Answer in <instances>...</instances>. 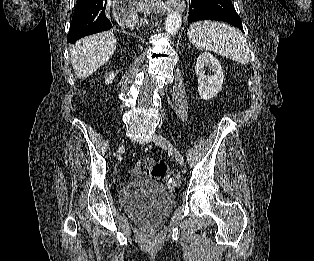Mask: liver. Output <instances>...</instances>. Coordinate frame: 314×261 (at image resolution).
Here are the masks:
<instances>
[{"mask_svg": "<svg viewBox=\"0 0 314 261\" xmlns=\"http://www.w3.org/2000/svg\"><path fill=\"white\" fill-rule=\"evenodd\" d=\"M117 41L112 32H103L80 39L71 53L76 76L84 79L96 72L113 56Z\"/></svg>", "mask_w": 314, "mask_h": 261, "instance_id": "liver-1", "label": "liver"}]
</instances>
